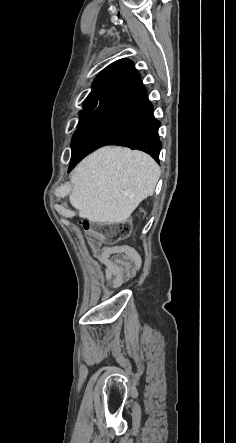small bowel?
Returning a JSON list of instances; mask_svg holds the SVG:
<instances>
[{
  "mask_svg": "<svg viewBox=\"0 0 236 443\" xmlns=\"http://www.w3.org/2000/svg\"><path fill=\"white\" fill-rule=\"evenodd\" d=\"M103 265L106 281L112 288H119L139 270L141 259L138 253L128 246H112L98 252Z\"/></svg>",
  "mask_w": 236,
  "mask_h": 443,
  "instance_id": "obj_1",
  "label": "small bowel"
}]
</instances>
